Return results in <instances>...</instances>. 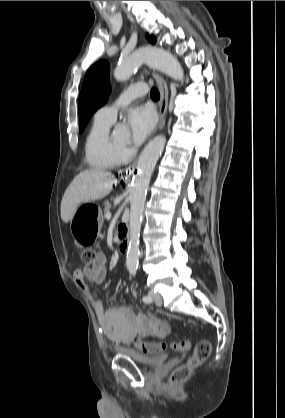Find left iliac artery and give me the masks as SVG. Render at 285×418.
<instances>
[{
    "mask_svg": "<svg viewBox=\"0 0 285 418\" xmlns=\"http://www.w3.org/2000/svg\"><path fill=\"white\" fill-rule=\"evenodd\" d=\"M136 271H137V269H132V270H130V272H131V274L133 275V276H135L136 275ZM142 300H143V302H145V303H151L152 302V299L149 297V296H143L142 297Z\"/></svg>",
    "mask_w": 285,
    "mask_h": 418,
    "instance_id": "44dca946",
    "label": "left iliac artery"
}]
</instances>
